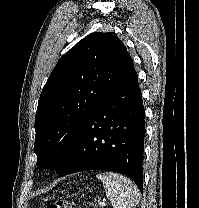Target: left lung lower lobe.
Returning a JSON list of instances; mask_svg holds the SVG:
<instances>
[{
	"instance_id": "left-lung-lower-lobe-1",
	"label": "left lung lower lobe",
	"mask_w": 199,
	"mask_h": 208,
	"mask_svg": "<svg viewBox=\"0 0 199 208\" xmlns=\"http://www.w3.org/2000/svg\"><path fill=\"white\" fill-rule=\"evenodd\" d=\"M144 115L132 66L91 113L57 177L91 169L114 171L129 176L142 192Z\"/></svg>"
}]
</instances>
